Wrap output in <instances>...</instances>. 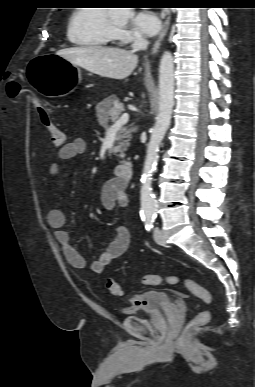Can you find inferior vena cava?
Segmentation results:
<instances>
[{"label": "inferior vena cava", "mask_w": 255, "mask_h": 387, "mask_svg": "<svg viewBox=\"0 0 255 387\" xmlns=\"http://www.w3.org/2000/svg\"><path fill=\"white\" fill-rule=\"evenodd\" d=\"M148 46V41L143 37H137L132 45L133 50H146Z\"/></svg>", "instance_id": "obj_1"}]
</instances>
